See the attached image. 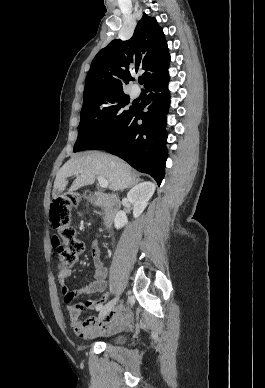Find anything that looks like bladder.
I'll return each mask as SVG.
<instances>
[{
    "label": "bladder",
    "instance_id": "31cf9c89",
    "mask_svg": "<svg viewBox=\"0 0 265 388\" xmlns=\"http://www.w3.org/2000/svg\"><path fill=\"white\" fill-rule=\"evenodd\" d=\"M126 338H127L126 334H114L112 335V338H110L108 344L109 346L121 345L123 342L126 341Z\"/></svg>",
    "mask_w": 265,
    "mask_h": 388
}]
</instances>
